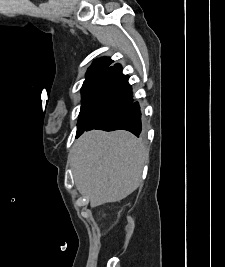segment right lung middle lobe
Here are the masks:
<instances>
[{"label": "right lung middle lobe", "instance_id": "dd1d6c3e", "mask_svg": "<svg viewBox=\"0 0 225 267\" xmlns=\"http://www.w3.org/2000/svg\"><path fill=\"white\" fill-rule=\"evenodd\" d=\"M95 80H85V82L83 83V86L81 88V93H82V100L84 101V98L90 88V86L93 84ZM82 101V102H83Z\"/></svg>", "mask_w": 225, "mask_h": 267}]
</instances>
